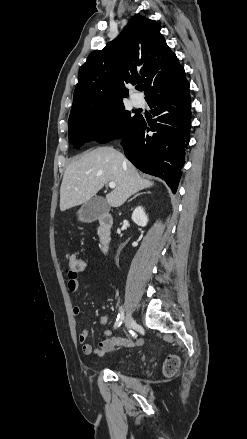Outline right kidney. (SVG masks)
<instances>
[{"mask_svg": "<svg viewBox=\"0 0 247 439\" xmlns=\"http://www.w3.org/2000/svg\"><path fill=\"white\" fill-rule=\"evenodd\" d=\"M131 218L137 225L142 227L146 226L148 223V217L142 206H138L134 209Z\"/></svg>", "mask_w": 247, "mask_h": 439, "instance_id": "ca27d5eb", "label": "right kidney"}]
</instances>
